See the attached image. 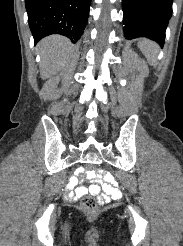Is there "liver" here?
Wrapping results in <instances>:
<instances>
[{
	"instance_id": "1",
	"label": "liver",
	"mask_w": 183,
	"mask_h": 246,
	"mask_svg": "<svg viewBox=\"0 0 183 246\" xmlns=\"http://www.w3.org/2000/svg\"><path fill=\"white\" fill-rule=\"evenodd\" d=\"M72 49L69 39L60 35H52L38 44L40 54V76L50 78L67 63Z\"/></svg>"
}]
</instances>
